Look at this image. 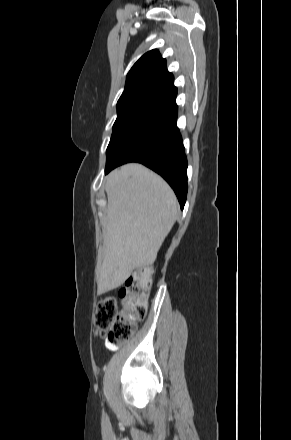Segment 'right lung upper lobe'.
<instances>
[{"label": "right lung upper lobe", "instance_id": "cb5924a9", "mask_svg": "<svg viewBox=\"0 0 291 440\" xmlns=\"http://www.w3.org/2000/svg\"><path fill=\"white\" fill-rule=\"evenodd\" d=\"M174 77L167 71L166 60L154 49L145 53L127 75L125 89L117 104L138 99L155 100L174 87Z\"/></svg>", "mask_w": 291, "mask_h": 440}]
</instances>
